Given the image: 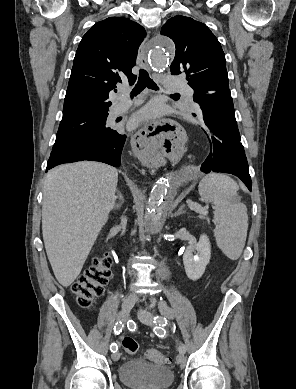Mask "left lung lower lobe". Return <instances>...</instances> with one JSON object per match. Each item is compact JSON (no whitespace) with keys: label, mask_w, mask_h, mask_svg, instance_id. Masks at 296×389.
Here are the masks:
<instances>
[{"label":"left lung lower lobe","mask_w":296,"mask_h":389,"mask_svg":"<svg viewBox=\"0 0 296 389\" xmlns=\"http://www.w3.org/2000/svg\"><path fill=\"white\" fill-rule=\"evenodd\" d=\"M205 97L201 110L206 125L204 131L209 142V154L201 165V171L233 174L251 191L248 162L241 143L230 90Z\"/></svg>","instance_id":"left-lung-lower-lobe-1"}]
</instances>
